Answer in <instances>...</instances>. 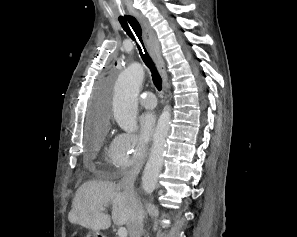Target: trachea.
<instances>
[{
	"label": "trachea",
	"instance_id": "obj_1",
	"mask_svg": "<svg viewBox=\"0 0 297 237\" xmlns=\"http://www.w3.org/2000/svg\"><path fill=\"white\" fill-rule=\"evenodd\" d=\"M120 24L123 29L127 32L128 36L137 42V47L140 53V56L145 63V65L150 69L151 76L155 87L161 91L162 89V79L152 61L145 44L142 39V29L140 24L134 17H128L126 19L120 20Z\"/></svg>",
	"mask_w": 297,
	"mask_h": 237
}]
</instances>
